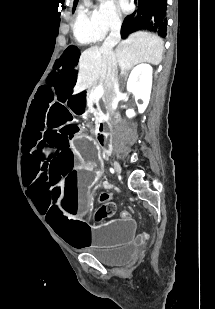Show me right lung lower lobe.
I'll use <instances>...</instances> for the list:
<instances>
[{"label": "right lung lower lobe", "instance_id": "1", "mask_svg": "<svg viewBox=\"0 0 215 309\" xmlns=\"http://www.w3.org/2000/svg\"><path fill=\"white\" fill-rule=\"evenodd\" d=\"M134 1L138 3V9L125 18L121 28L122 38L140 29L157 32L162 37H165L167 28V0Z\"/></svg>", "mask_w": 215, "mask_h": 309}]
</instances>
